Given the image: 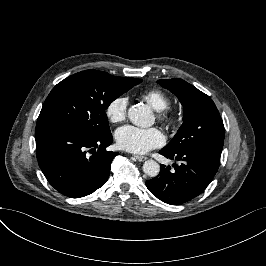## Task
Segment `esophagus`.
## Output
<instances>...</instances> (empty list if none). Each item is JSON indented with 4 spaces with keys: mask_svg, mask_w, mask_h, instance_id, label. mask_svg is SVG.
Here are the masks:
<instances>
[{
    "mask_svg": "<svg viewBox=\"0 0 266 266\" xmlns=\"http://www.w3.org/2000/svg\"><path fill=\"white\" fill-rule=\"evenodd\" d=\"M135 159L138 160V161H146L147 157L146 156H143V155H134Z\"/></svg>",
    "mask_w": 266,
    "mask_h": 266,
    "instance_id": "1",
    "label": "esophagus"
}]
</instances>
